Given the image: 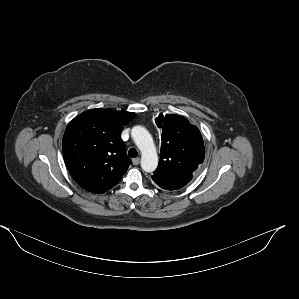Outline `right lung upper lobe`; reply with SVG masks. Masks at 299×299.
Segmentation results:
<instances>
[{
    "instance_id": "cb5924a9",
    "label": "right lung upper lobe",
    "mask_w": 299,
    "mask_h": 299,
    "mask_svg": "<svg viewBox=\"0 0 299 299\" xmlns=\"http://www.w3.org/2000/svg\"><path fill=\"white\" fill-rule=\"evenodd\" d=\"M135 116L132 112L91 109L69 122L62 141L63 157L82 188L101 194L119 182L131 164L120 135Z\"/></svg>"
}]
</instances>
